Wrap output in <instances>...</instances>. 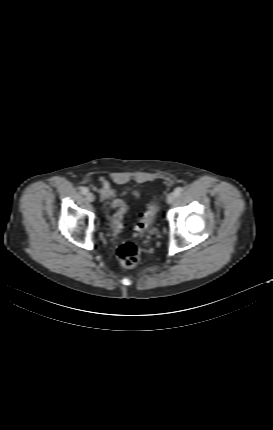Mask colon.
Here are the masks:
<instances>
[{"mask_svg": "<svg viewBox=\"0 0 273 430\" xmlns=\"http://www.w3.org/2000/svg\"><path fill=\"white\" fill-rule=\"evenodd\" d=\"M111 207L116 209L112 216V224L117 232L123 229V218L127 211V205L119 199L111 203ZM157 212V203L152 202L148 209L140 215L136 224V231L139 235L145 233L151 226ZM117 256L121 264L127 268H134L139 263V250L132 242L122 243L117 251Z\"/></svg>", "mask_w": 273, "mask_h": 430, "instance_id": "colon-1", "label": "colon"}]
</instances>
